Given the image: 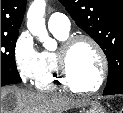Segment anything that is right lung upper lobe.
<instances>
[{"label": "right lung upper lobe", "instance_id": "1", "mask_svg": "<svg viewBox=\"0 0 123 113\" xmlns=\"http://www.w3.org/2000/svg\"><path fill=\"white\" fill-rule=\"evenodd\" d=\"M26 0H1V34L19 33Z\"/></svg>", "mask_w": 123, "mask_h": 113}]
</instances>
